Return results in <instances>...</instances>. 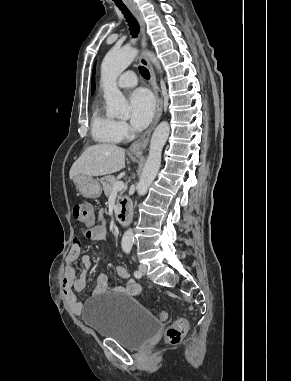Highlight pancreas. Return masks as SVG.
Listing matches in <instances>:
<instances>
[{
	"label": "pancreas",
	"mask_w": 291,
	"mask_h": 381,
	"mask_svg": "<svg viewBox=\"0 0 291 381\" xmlns=\"http://www.w3.org/2000/svg\"><path fill=\"white\" fill-rule=\"evenodd\" d=\"M100 181L102 183L105 195L107 197L110 196L111 193L113 192V186L117 182L116 178L114 176L109 175V176H105V177L101 178ZM122 193L123 192H120V194H118V196H117L118 199H121Z\"/></svg>",
	"instance_id": "1"
}]
</instances>
